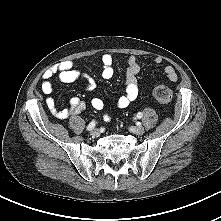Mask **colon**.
<instances>
[{
    "instance_id": "colon-1",
    "label": "colon",
    "mask_w": 221,
    "mask_h": 221,
    "mask_svg": "<svg viewBox=\"0 0 221 221\" xmlns=\"http://www.w3.org/2000/svg\"><path fill=\"white\" fill-rule=\"evenodd\" d=\"M153 97L162 104H167L172 99V91L165 85H159L153 90Z\"/></svg>"
}]
</instances>
